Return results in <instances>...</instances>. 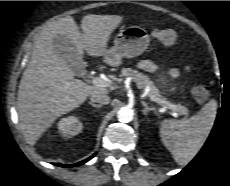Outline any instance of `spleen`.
Masks as SVG:
<instances>
[{
    "mask_svg": "<svg viewBox=\"0 0 230 186\" xmlns=\"http://www.w3.org/2000/svg\"><path fill=\"white\" fill-rule=\"evenodd\" d=\"M217 114V101L211 99L199 113L189 119H165L160 137L179 165H187L208 138Z\"/></svg>",
    "mask_w": 230,
    "mask_h": 186,
    "instance_id": "3e777b00",
    "label": "spleen"
}]
</instances>
